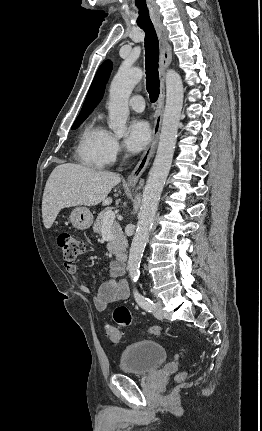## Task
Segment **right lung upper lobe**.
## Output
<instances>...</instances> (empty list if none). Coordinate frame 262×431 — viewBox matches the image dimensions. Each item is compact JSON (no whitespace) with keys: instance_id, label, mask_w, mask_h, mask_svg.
I'll return each mask as SVG.
<instances>
[{"instance_id":"right-lung-upper-lobe-1","label":"right lung upper lobe","mask_w":262,"mask_h":431,"mask_svg":"<svg viewBox=\"0 0 262 431\" xmlns=\"http://www.w3.org/2000/svg\"><path fill=\"white\" fill-rule=\"evenodd\" d=\"M111 69L112 63L109 60L99 67L78 117H88V115L98 105L104 94L105 84L109 78Z\"/></svg>"}]
</instances>
